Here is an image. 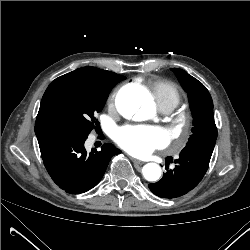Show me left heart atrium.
Returning a JSON list of instances; mask_svg holds the SVG:
<instances>
[{"instance_id": "39dd6f15", "label": "left heart atrium", "mask_w": 250, "mask_h": 250, "mask_svg": "<svg viewBox=\"0 0 250 250\" xmlns=\"http://www.w3.org/2000/svg\"><path fill=\"white\" fill-rule=\"evenodd\" d=\"M170 140L168 132L157 126H125L116 134L117 143L129 153L145 156L165 147Z\"/></svg>"}]
</instances>
